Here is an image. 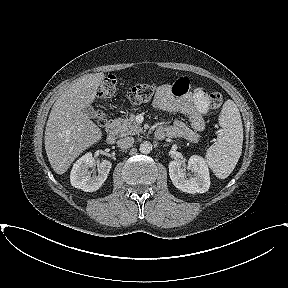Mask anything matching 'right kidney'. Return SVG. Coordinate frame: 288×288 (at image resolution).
Here are the masks:
<instances>
[{
    "label": "right kidney",
    "mask_w": 288,
    "mask_h": 288,
    "mask_svg": "<svg viewBox=\"0 0 288 288\" xmlns=\"http://www.w3.org/2000/svg\"><path fill=\"white\" fill-rule=\"evenodd\" d=\"M93 165L94 158L92 153H86L81 158H79L74 163L71 170V185L85 192H93L98 190L106 181L112 164L108 160H103L98 166V176H91L89 168L93 167Z\"/></svg>",
    "instance_id": "ca27d5eb"
}]
</instances>
